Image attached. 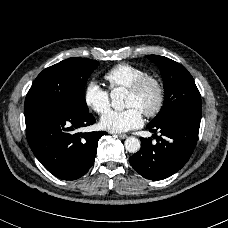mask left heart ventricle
<instances>
[{
    "label": "left heart ventricle",
    "instance_id": "left-heart-ventricle-1",
    "mask_svg": "<svg viewBox=\"0 0 228 228\" xmlns=\"http://www.w3.org/2000/svg\"><path fill=\"white\" fill-rule=\"evenodd\" d=\"M157 100V89L150 83L139 95L128 92L126 107H136L140 111L150 108Z\"/></svg>",
    "mask_w": 228,
    "mask_h": 228
}]
</instances>
